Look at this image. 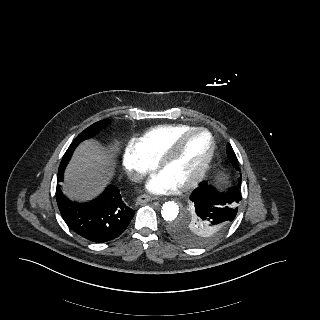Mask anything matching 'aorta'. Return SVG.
<instances>
[{
    "mask_svg": "<svg viewBox=\"0 0 320 320\" xmlns=\"http://www.w3.org/2000/svg\"><path fill=\"white\" fill-rule=\"evenodd\" d=\"M179 213V207L174 201L165 202L161 208V216L166 221L175 220Z\"/></svg>",
    "mask_w": 320,
    "mask_h": 320,
    "instance_id": "aorta-1",
    "label": "aorta"
}]
</instances>
